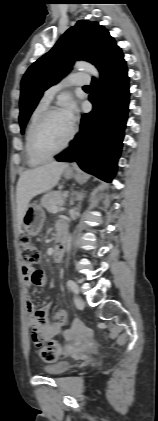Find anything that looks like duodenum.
Masks as SVG:
<instances>
[{"instance_id": "obj_1", "label": "duodenum", "mask_w": 158, "mask_h": 421, "mask_svg": "<svg viewBox=\"0 0 158 421\" xmlns=\"http://www.w3.org/2000/svg\"><path fill=\"white\" fill-rule=\"evenodd\" d=\"M67 247V237L65 232H61L58 236L56 246L53 252V258L56 262H60L65 254Z\"/></svg>"}]
</instances>
